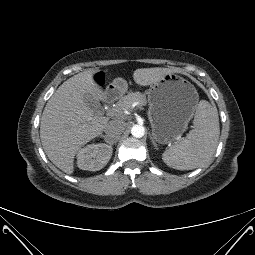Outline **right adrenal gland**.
Segmentation results:
<instances>
[{"label":"right adrenal gland","instance_id":"1","mask_svg":"<svg viewBox=\"0 0 255 255\" xmlns=\"http://www.w3.org/2000/svg\"><path fill=\"white\" fill-rule=\"evenodd\" d=\"M100 137L104 138L105 142L108 143L111 146V143L109 142L106 135H101Z\"/></svg>","mask_w":255,"mask_h":255}]
</instances>
